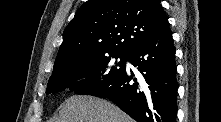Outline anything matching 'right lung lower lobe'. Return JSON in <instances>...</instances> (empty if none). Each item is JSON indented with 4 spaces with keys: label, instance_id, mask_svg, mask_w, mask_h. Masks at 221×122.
<instances>
[{
    "label": "right lung lower lobe",
    "instance_id": "1",
    "mask_svg": "<svg viewBox=\"0 0 221 122\" xmlns=\"http://www.w3.org/2000/svg\"><path fill=\"white\" fill-rule=\"evenodd\" d=\"M141 73L126 70L92 96L108 98L137 122H176L175 48L169 24L128 56Z\"/></svg>",
    "mask_w": 221,
    "mask_h": 122
}]
</instances>
